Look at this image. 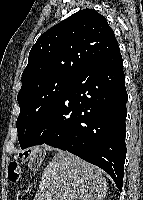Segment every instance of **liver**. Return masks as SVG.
<instances>
[{
  "label": "liver",
  "instance_id": "6515ba94",
  "mask_svg": "<svg viewBox=\"0 0 143 200\" xmlns=\"http://www.w3.org/2000/svg\"><path fill=\"white\" fill-rule=\"evenodd\" d=\"M107 188L101 169L59 151L43 170L33 200H103Z\"/></svg>",
  "mask_w": 143,
  "mask_h": 200
}]
</instances>
